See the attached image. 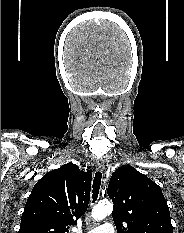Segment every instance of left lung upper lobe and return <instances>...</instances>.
Returning <instances> with one entry per match:
<instances>
[{
    "label": "left lung upper lobe",
    "instance_id": "left-lung-upper-lobe-1",
    "mask_svg": "<svg viewBox=\"0 0 184 233\" xmlns=\"http://www.w3.org/2000/svg\"><path fill=\"white\" fill-rule=\"evenodd\" d=\"M117 233H173L161 188L130 165L119 167L108 185Z\"/></svg>",
    "mask_w": 184,
    "mask_h": 233
}]
</instances>
